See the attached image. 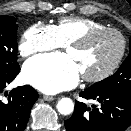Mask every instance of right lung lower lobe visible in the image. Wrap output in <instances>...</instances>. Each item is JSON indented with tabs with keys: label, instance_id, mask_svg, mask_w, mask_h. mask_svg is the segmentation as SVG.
Masks as SVG:
<instances>
[{
	"label": "right lung lower lobe",
	"instance_id": "98d812e1",
	"mask_svg": "<svg viewBox=\"0 0 131 131\" xmlns=\"http://www.w3.org/2000/svg\"><path fill=\"white\" fill-rule=\"evenodd\" d=\"M19 71L20 68L9 76L0 77V93L6 84L15 79ZM37 99V91L29 85L11 90L7 101L0 100V131H23Z\"/></svg>",
	"mask_w": 131,
	"mask_h": 131
}]
</instances>
